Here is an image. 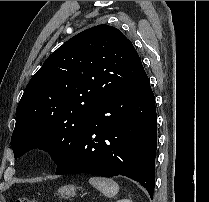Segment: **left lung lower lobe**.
<instances>
[{
  "label": "left lung lower lobe",
  "mask_w": 209,
  "mask_h": 202,
  "mask_svg": "<svg viewBox=\"0 0 209 202\" xmlns=\"http://www.w3.org/2000/svg\"><path fill=\"white\" fill-rule=\"evenodd\" d=\"M156 150L155 97L143 70L88 114L80 141L56 174L123 175L153 198Z\"/></svg>",
  "instance_id": "1"
}]
</instances>
